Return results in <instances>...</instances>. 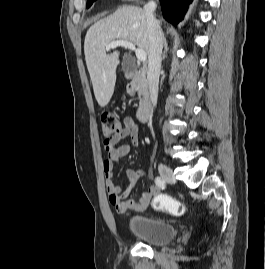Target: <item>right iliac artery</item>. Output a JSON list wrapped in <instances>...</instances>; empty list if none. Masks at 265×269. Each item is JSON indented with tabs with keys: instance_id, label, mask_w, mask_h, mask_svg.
<instances>
[{
	"instance_id": "obj_1",
	"label": "right iliac artery",
	"mask_w": 265,
	"mask_h": 269,
	"mask_svg": "<svg viewBox=\"0 0 265 269\" xmlns=\"http://www.w3.org/2000/svg\"><path fill=\"white\" fill-rule=\"evenodd\" d=\"M155 184L160 188V189H165V181L161 177H156L155 178Z\"/></svg>"
}]
</instances>
